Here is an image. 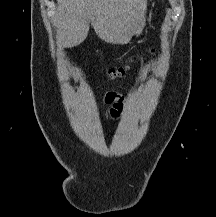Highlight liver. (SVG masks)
<instances>
[{"label":"liver","mask_w":216,"mask_h":217,"mask_svg":"<svg viewBox=\"0 0 216 217\" xmlns=\"http://www.w3.org/2000/svg\"><path fill=\"white\" fill-rule=\"evenodd\" d=\"M57 38L64 46L82 43L91 22L96 34L112 44L127 43L144 17L147 0H57Z\"/></svg>","instance_id":"obj_1"}]
</instances>
